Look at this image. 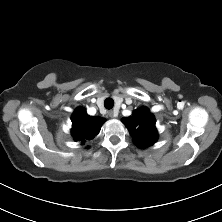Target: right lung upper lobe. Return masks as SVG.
<instances>
[{"label":"right lung upper lobe","mask_w":222,"mask_h":222,"mask_svg":"<svg viewBox=\"0 0 222 222\" xmlns=\"http://www.w3.org/2000/svg\"><path fill=\"white\" fill-rule=\"evenodd\" d=\"M72 136L76 141L85 142L93 139L100 131L105 119L89 116L86 110L79 107L72 115Z\"/></svg>","instance_id":"1"}]
</instances>
